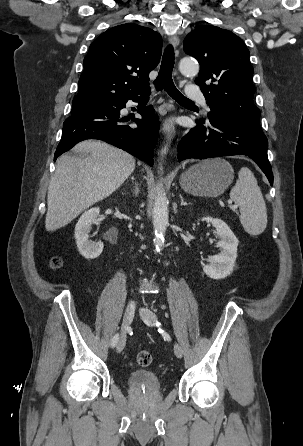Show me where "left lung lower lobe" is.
Wrapping results in <instances>:
<instances>
[{
  "instance_id": "obj_1",
  "label": "left lung lower lobe",
  "mask_w": 303,
  "mask_h": 446,
  "mask_svg": "<svg viewBox=\"0 0 303 446\" xmlns=\"http://www.w3.org/2000/svg\"><path fill=\"white\" fill-rule=\"evenodd\" d=\"M209 120L196 121L178 145V159H206L220 156L245 155L253 159L273 184V173L267 156L268 141L264 133L252 131L223 118L214 107Z\"/></svg>"
}]
</instances>
